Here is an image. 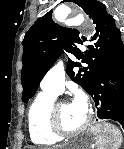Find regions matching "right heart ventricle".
Listing matches in <instances>:
<instances>
[{
  "mask_svg": "<svg viewBox=\"0 0 124 149\" xmlns=\"http://www.w3.org/2000/svg\"><path fill=\"white\" fill-rule=\"evenodd\" d=\"M57 94L41 91L28 111V131L31 141L39 146H51L58 143L61 137L55 135L49 124V111Z\"/></svg>",
  "mask_w": 124,
  "mask_h": 149,
  "instance_id": "1",
  "label": "right heart ventricle"
}]
</instances>
